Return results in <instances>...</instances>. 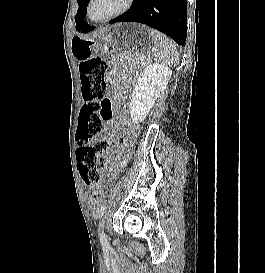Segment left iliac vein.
I'll list each match as a JSON object with an SVG mask.
<instances>
[{
    "mask_svg": "<svg viewBox=\"0 0 265 273\" xmlns=\"http://www.w3.org/2000/svg\"><path fill=\"white\" fill-rule=\"evenodd\" d=\"M104 224H105V221H104V219H102L101 222H100V224H99V227H98V230L100 232H103Z\"/></svg>",
    "mask_w": 265,
    "mask_h": 273,
    "instance_id": "obj_1",
    "label": "left iliac vein"
}]
</instances>
